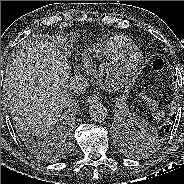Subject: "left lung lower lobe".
Returning <instances> with one entry per match:
<instances>
[{
  "mask_svg": "<svg viewBox=\"0 0 184 184\" xmlns=\"http://www.w3.org/2000/svg\"><path fill=\"white\" fill-rule=\"evenodd\" d=\"M171 119L173 120L174 116L171 117ZM170 130H171V124L167 123L166 125H163L161 128L154 131L153 134H156V135L160 136L161 138H166V136L169 134ZM134 139H135V134H134ZM136 142H137V140H136Z\"/></svg>",
  "mask_w": 184,
  "mask_h": 184,
  "instance_id": "obj_1",
  "label": "left lung lower lobe"
}]
</instances>
